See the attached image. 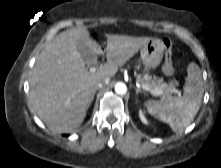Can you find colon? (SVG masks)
<instances>
[{"mask_svg":"<svg viewBox=\"0 0 221 168\" xmlns=\"http://www.w3.org/2000/svg\"><path fill=\"white\" fill-rule=\"evenodd\" d=\"M165 45V61L163 70L166 75H173L175 72L173 62H172V42L168 39L164 40ZM170 87L172 90L177 91L180 89L181 84L176 79L171 81Z\"/></svg>","mask_w":221,"mask_h":168,"instance_id":"1","label":"colon"}]
</instances>
